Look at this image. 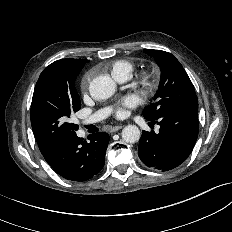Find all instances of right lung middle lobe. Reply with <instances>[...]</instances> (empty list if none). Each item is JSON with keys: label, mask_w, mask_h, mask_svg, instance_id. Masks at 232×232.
Returning <instances> with one entry per match:
<instances>
[{"label": "right lung middle lobe", "mask_w": 232, "mask_h": 232, "mask_svg": "<svg viewBox=\"0 0 232 232\" xmlns=\"http://www.w3.org/2000/svg\"><path fill=\"white\" fill-rule=\"evenodd\" d=\"M87 62L52 63L39 76L31 103V125L42 153L55 152L79 128L69 118L81 108L74 82Z\"/></svg>", "instance_id": "dd1d6c3e"}]
</instances>
